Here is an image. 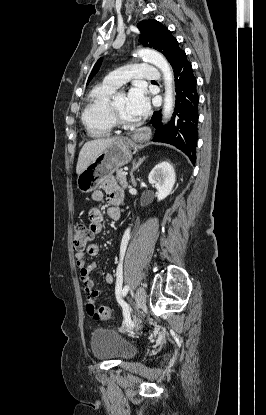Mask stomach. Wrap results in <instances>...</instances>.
Masks as SVG:
<instances>
[{
  "mask_svg": "<svg viewBox=\"0 0 266 415\" xmlns=\"http://www.w3.org/2000/svg\"><path fill=\"white\" fill-rule=\"evenodd\" d=\"M132 159L130 142L120 138L108 145L77 178V187L83 193L95 190L116 170Z\"/></svg>",
  "mask_w": 266,
  "mask_h": 415,
  "instance_id": "0dacf381",
  "label": "stomach"
}]
</instances>
